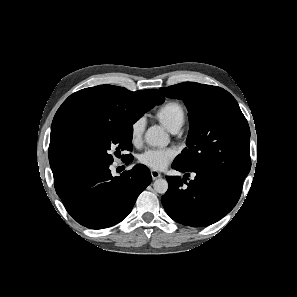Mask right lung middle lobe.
<instances>
[{"instance_id":"dd1d6c3e","label":"right lung middle lobe","mask_w":297,"mask_h":297,"mask_svg":"<svg viewBox=\"0 0 297 297\" xmlns=\"http://www.w3.org/2000/svg\"><path fill=\"white\" fill-rule=\"evenodd\" d=\"M159 103L150 98H143L136 105L137 115L130 121L102 122L78 129L68 143V155L76 170L110 165L113 156L110 149L132 150V125L146 111ZM129 156V155H125Z\"/></svg>"}]
</instances>
